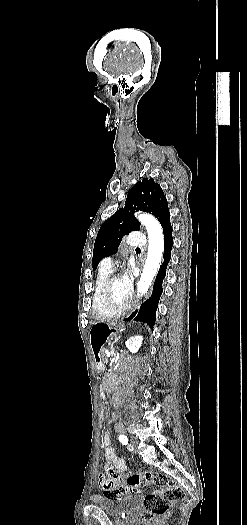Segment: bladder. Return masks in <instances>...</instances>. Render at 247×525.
<instances>
[{"label": "bladder", "mask_w": 247, "mask_h": 525, "mask_svg": "<svg viewBox=\"0 0 247 525\" xmlns=\"http://www.w3.org/2000/svg\"><path fill=\"white\" fill-rule=\"evenodd\" d=\"M94 505L102 509L107 516L121 518L130 512L139 510L142 503L137 495H126L117 498L93 497Z\"/></svg>", "instance_id": "bladder-1"}]
</instances>
